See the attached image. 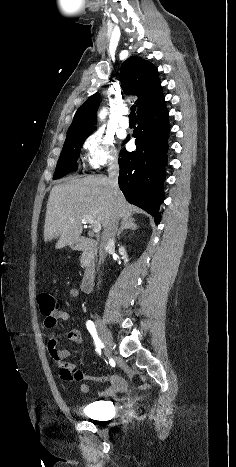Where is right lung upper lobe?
I'll list each match as a JSON object with an SVG mask.
<instances>
[{
    "mask_svg": "<svg viewBox=\"0 0 236 467\" xmlns=\"http://www.w3.org/2000/svg\"><path fill=\"white\" fill-rule=\"evenodd\" d=\"M121 87L127 95H136L138 100L137 114L153 106L163 98L157 68L136 56H131L122 65L120 71ZM100 96L98 93L92 95L77 110L68 133L92 132L96 123V112L99 107Z\"/></svg>",
    "mask_w": 236,
    "mask_h": 467,
    "instance_id": "obj_1",
    "label": "right lung upper lobe"
}]
</instances>
